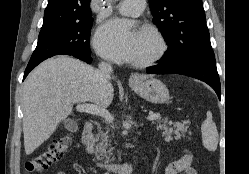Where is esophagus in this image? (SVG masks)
Segmentation results:
<instances>
[{
	"label": "esophagus",
	"instance_id": "esophagus-1",
	"mask_svg": "<svg viewBox=\"0 0 249 174\" xmlns=\"http://www.w3.org/2000/svg\"><path fill=\"white\" fill-rule=\"evenodd\" d=\"M130 82H136V81H138L139 80V74L138 73H132L131 75H130Z\"/></svg>",
	"mask_w": 249,
	"mask_h": 174
}]
</instances>
